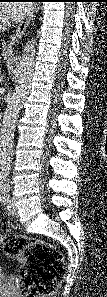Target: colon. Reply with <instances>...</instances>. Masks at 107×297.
Instances as JSON below:
<instances>
[{
	"instance_id": "5ec220e1",
	"label": "colon",
	"mask_w": 107,
	"mask_h": 297,
	"mask_svg": "<svg viewBox=\"0 0 107 297\" xmlns=\"http://www.w3.org/2000/svg\"><path fill=\"white\" fill-rule=\"evenodd\" d=\"M4 254L21 263L17 286L24 297H45L56 289L64 274L65 262L51 244L23 235L1 237Z\"/></svg>"
}]
</instances>
